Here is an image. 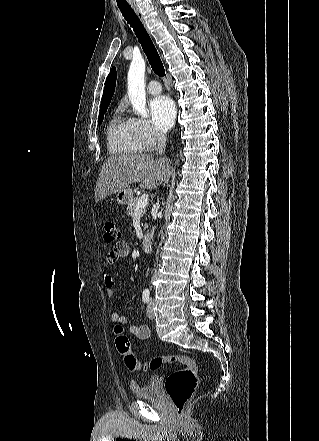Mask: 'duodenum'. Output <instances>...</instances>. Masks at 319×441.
Returning <instances> with one entry per match:
<instances>
[{
  "label": "duodenum",
  "instance_id": "1",
  "mask_svg": "<svg viewBox=\"0 0 319 441\" xmlns=\"http://www.w3.org/2000/svg\"><path fill=\"white\" fill-rule=\"evenodd\" d=\"M141 244H142V249L145 252L151 251V245H152L151 236L149 234H144L143 237H142Z\"/></svg>",
  "mask_w": 319,
  "mask_h": 441
}]
</instances>
